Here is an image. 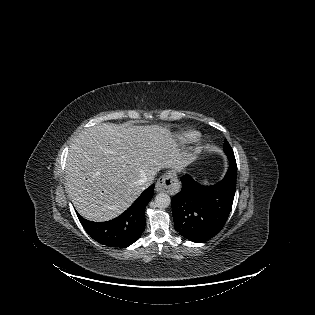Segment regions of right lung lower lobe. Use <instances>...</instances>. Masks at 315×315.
Instances as JSON below:
<instances>
[{"label": "right lung lower lobe", "mask_w": 315, "mask_h": 315, "mask_svg": "<svg viewBox=\"0 0 315 315\" xmlns=\"http://www.w3.org/2000/svg\"><path fill=\"white\" fill-rule=\"evenodd\" d=\"M154 184L120 216L106 222H93L78 218L86 232L97 242L115 248H126L141 236L145 229V206L153 197Z\"/></svg>", "instance_id": "right-lung-lower-lobe-1"}]
</instances>
